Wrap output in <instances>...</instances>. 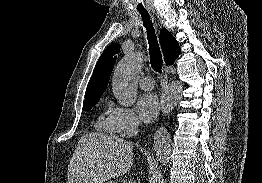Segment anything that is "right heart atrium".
I'll return each instance as SVG.
<instances>
[{
  "instance_id": "d8ad5b80",
  "label": "right heart atrium",
  "mask_w": 262,
  "mask_h": 183,
  "mask_svg": "<svg viewBox=\"0 0 262 183\" xmlns=\"http://www.w3.org/2000/svg\"><path fill=\"white\" fill-rule=\"evenodd\" d=\"M109 115L117 132L123 136H133L140 130L141 121L131 108L113 106Z\"/></svg>"
}]
</instances>
